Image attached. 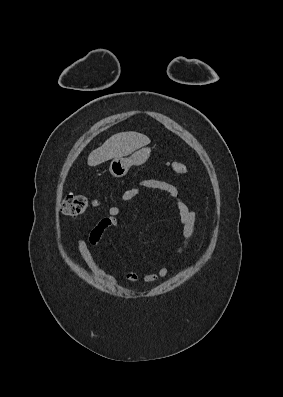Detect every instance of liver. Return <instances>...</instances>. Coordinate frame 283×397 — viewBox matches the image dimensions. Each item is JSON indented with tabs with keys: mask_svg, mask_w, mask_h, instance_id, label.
I'll return each instance as SVG.
<instances>
[{
	"mask_svg": "<svg viewBox=\"0 0 283 397\" xmlns=\"http://www.w3.org/2000/svg\"><path fill=\"white\" fill-rule=\"evenodd\" d=\"M150 143V139L137 132L117 133L107 139L102 146L93 150L88 156V165L97 166L114 158H121L144 147Z\"/></svg>",
	"mask_w": 283,
	"mask_h": 397,
	"instance_id": "liver-1",
	"label": "liver"
}]
</instances>
